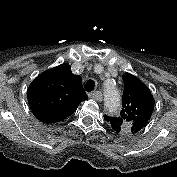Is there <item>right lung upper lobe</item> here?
Masks as SVG:
<instances>
[{
  "label": "right lung upper lobe",
  "mask_w": 177,
  "mask_h": 177,
  "mask_svg": "<svg viewBox=\"0 0 177 177\" xmlns=\"http://www.w3.org/2000/svg\"><path fill=\"white\" fill-rule=\"evenodd\" d=\"M27 96L34 116L48 124L67 118L88 98L81 77L65 63L41 73L30 84Z\"/></svg>",
  "instance_id": "obj_1"
}]
</instances>
